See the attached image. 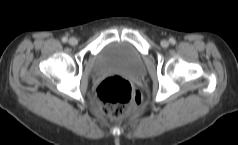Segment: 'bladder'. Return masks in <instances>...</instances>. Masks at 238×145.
Instances as JSON below:
<instances>
[{
	"instance_id": "31cf9c89",
	"label": "bladder",
	"mask_w": 238,
	"mask_h": 145,
	"mask_svg": "<svg viewBox=\"0 0 238 145\" xmlns=\"http://www.w3.org/2000/svg\"><path fill=\"white\" fill-rule=\"evenodd\" d=\"M94 73L118 72L133 77L145 74L141 53L131 44L122 41L104 45L96 54Z\"/></svg>"
}]
</instances>
